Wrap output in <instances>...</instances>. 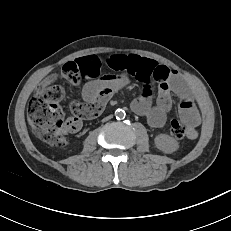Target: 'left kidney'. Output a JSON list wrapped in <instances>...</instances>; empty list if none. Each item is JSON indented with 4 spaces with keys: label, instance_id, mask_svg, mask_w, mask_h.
<instances>
[{
    "label": "left kidney",
    "instance_id": "obj_1",
    "mask_svg": "<svg viewBox=\"0 0 231 231\" xmlns=\"http://www.w3.org/2000/svg\"><path fill=\"white\" fill-rule=\"evenodd\" d=\"M156 147L164 153L170 154L178 150L179 143L167 134H160L155 137Z\"/></svg>",
    "mask_w": 231,
    "mask_h": 231
}]
</instances>
